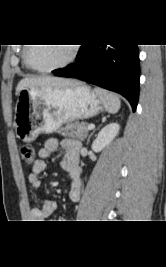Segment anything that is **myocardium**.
<instances>
[{"label": "myocardium", "mask_w": 166, "mask_h": 267, "mask_svg": "<svg viewBox=\"0 0 166 267\" xmlns=\"http://www.w3.org/2000/svg\"><path fill=\"white\" fill-rule=\"evenodd\" d=\"M31 45L32 44H28V46H26V48L24 50V54H23V59H24L25 64L31 70L36 71V72H40V73L53 72V71H56V70H59L61 68L68 66L71 62H73V60L75 59V57L78 53V48L72 44V46H70V48H71L70 54L65 61H63L62 63H60L58 65L49 67V68H39V67L34 66L29 60V52H30V48L32 47Z\"/></svg>", "instance_id": "obj_1"}]
</instances>
